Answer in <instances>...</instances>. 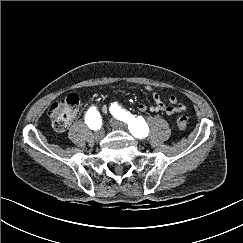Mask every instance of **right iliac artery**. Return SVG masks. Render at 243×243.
I'll list each match as a JSON object with an SVG mask.
<instances>
[{
    "mask_svg": "<svg viewBox=\"0 0 243 243\" xmlns=\"http://www.w3.org/2000/svg\"><path fill=\"white\" fill-rule=\"evenodd\" d=\"M85 123L93 130L101 126V116L95 107H91L85 115Z\"/></svg>",
    "mask_w": 243,
    "mask_h": 243,
    "instance_id": "obj_1",
    "label": "right iliac artery"
}]
</instances>
